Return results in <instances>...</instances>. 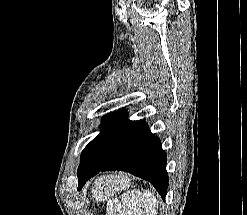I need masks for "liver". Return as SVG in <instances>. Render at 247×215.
<instances>
[{
    "instance_id": "obj_1",
    "label": "liver",
    "mask_w": 247,
    "mask_h": 215,
    "mask_svg": "<svg viewBox=\"0 0 247 215\" xmlns=\"http://www.w3.org/2000/svg\"><path fill=\"white\" fill-rule=\"evenodd\" d=\"M109 177V176H108ZM116 178H121V182H122V184H125V183H127V180L124 178V177H116ZM109 197V196H108ZM107 198V197H106ZM100 199H102V198H100Z\"/></svg>"
}]
</instances>
